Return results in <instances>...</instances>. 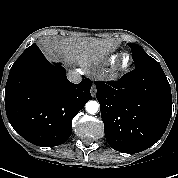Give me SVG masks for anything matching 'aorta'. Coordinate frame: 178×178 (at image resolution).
Returning <instances> with one entry per match:
<instances>
[{
	"label": "aorta",
	"instance_id": "obj_1",
	"mask_svg": "<svg viewBox=\"0 0 178 178\" xmlns=\"http://www.w3.org/2000/svg\"><path fill=\"white\" fill-rule=\"evenodd\" d=\"M85 107L88 113L95 114L99 109V103L97 101H89L86 103Z\"/></svg>",
	"mask_w": 178,
	"mask_h": 178
}]
</instances>
